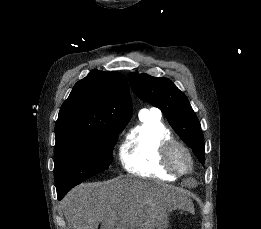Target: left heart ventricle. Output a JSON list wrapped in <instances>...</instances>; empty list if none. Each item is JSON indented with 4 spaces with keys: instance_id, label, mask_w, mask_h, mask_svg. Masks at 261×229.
Masks as SVG:
<instances>
[{
    "instance_id": "obj_1",
    "label": "left heart ventricle",
    "mask_w": 261,
    "mask_h": 229,
    "mask_svg": "<svg viewBox=\"0 0 261 229\" xmlns=\"http://www.w3.org/2000/svg\"><path fill=\"white\" fill-rule=\"evenodd\" d=\"M174 162L175 165L180 169H183L187 166V158L183 151L181 150L176 151L174 155Z\"/></svg>"
}]
</instances>
